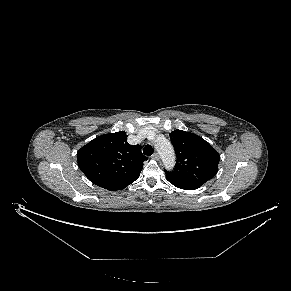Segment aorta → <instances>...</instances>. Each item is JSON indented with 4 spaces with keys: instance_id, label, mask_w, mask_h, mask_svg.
Listing matches in <instances>:
<instances>
[{
    "instance_id": "obj_1",
    "label": "aorta",
    "mask_w": 291,
    "mask_h": 291,
    "mask_svg": "<svg viewBox=\"0 0 291 291\" xmlns=\"http://www.w3.org/2000/svg\"><path fill=\"white\" fill-rule=\"evenodd\" d=\"M154 146L165 168L168 170L172 169L175 164V153L171 143L164 136H158L154 142Z\"/></svg>"
}]
</instances>
